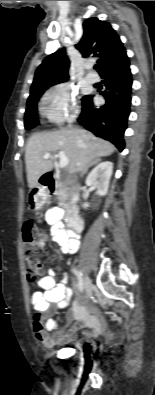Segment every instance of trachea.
Masks as SVG:
<instances>
[{
    "mask_svg": "<svg viewBox=\"0 0 155 395\" xmlns=\"http://www.w3.org/2000/svg\"><path fill=\"white\" fill-rule=\"evenodd\" d=\"M97 67H98L97 65L94 66L95 69H97Z\"/></svg>",
    "mask_w": 155,
    "mask_h": 395,
    "instance_id": "trachea-1",
    "label": "trachea"
}]
</instances>
